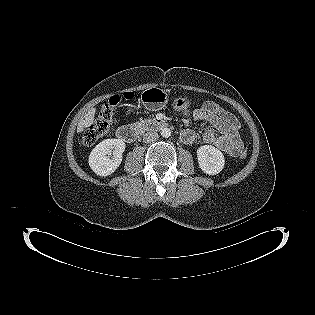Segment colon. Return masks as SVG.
<instances>
[{
	"label": "colon",
	"mask_w": 315,
	"mask_h": 315,
	"mask_svg": "<svg viewBox=\"0 0 315 315\" xmlns=\"http://www.w3.org/2000/svg\"><path fill=\"white\" fill-rule=\"evenodd\" d=\"M133 97V94L126 92L123 94L113 95L108 98L102 105L98 117L92 125L85 131L82 137V141L85 145L91 146L95 144L101 137L105 136L109 131L113 123V118L117 106L123 100H129ZM192 103V99L189 96H181L173 100L172 106L176 110H182L188 108ZM242 160H247L250 156L248 150L243 149L238 154Z\"/></svg>",
	"instance_id": "1"
}]
</instances>
